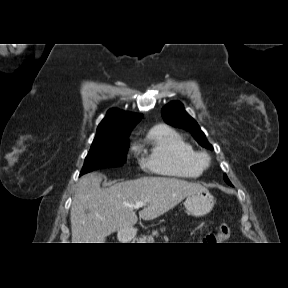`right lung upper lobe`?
<instances>
[{"label": "right lung upper lobe", "mask_w": 288, "mask_h": 288, "mask_svg": "<svg viewBox=\"0 0 288 288\" xmlns=\"http://www.w3.org/2000/svg\"><path fill=\"white\" fill-rule=\"evenodd\" d=\"M141 119V114L110 109L106 117L99 124L94 140L114 137L121 134L129 135V129H132Z\"/></svg>", "instance_id": "1"}]
</instances>
